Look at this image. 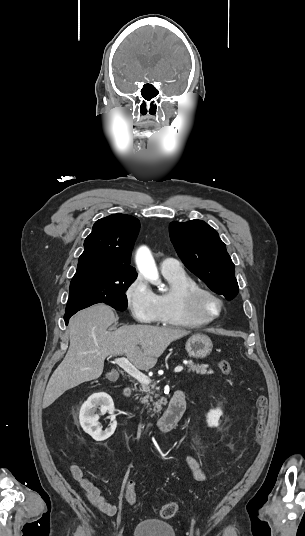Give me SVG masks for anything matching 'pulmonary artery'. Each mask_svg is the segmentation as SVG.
I'll return each instance as SVG.
<instances>
[{"instance_id": "e3ab8cb5", "label": "pulmonary artery", "mask_w": 305, "mask_h": 536, "mask_svg": "<svg viewBox=\"0 0 305 536\" xmlns=\"http://www.w3.org/2000/svg\"><path fill=\"white\" fill-rule=\"evenodd\" d=\"M160 269L162 272L181 271L183 270L180 263L173 258H163L160 260Z\"/></svg>"}]
</instances>
